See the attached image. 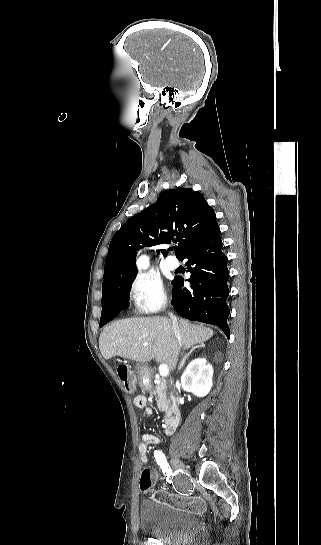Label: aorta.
<instances>
[{
    "label": "aorta",
    "mask_w": 321,
    "mask_h": 545,
    "mask_svg": "<svg viewBox=\"0 0 321 545\" xmlns=\"http://www.w3.org/2000/svg\"><path fill=\"white\" fill-rule=\"evenodd\" d=\"M149 265L148 259L145 256H141L138 259V266L142 269H146Z\"/></svg>",
    "instance_id": "762f6f07"
}]
</instances>
